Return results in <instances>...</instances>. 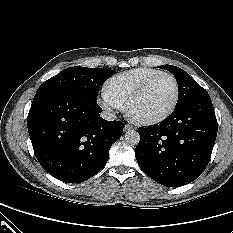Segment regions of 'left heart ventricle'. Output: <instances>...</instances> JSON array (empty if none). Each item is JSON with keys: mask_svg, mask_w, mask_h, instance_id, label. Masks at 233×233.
<instances>
[{"mask_svg": "<svg viewBox=\"0 0 233 233\" xmlns=\"http://www.w3.org/2000/svg\"><path fill=\"white\" fill-rule=\"evenodd\" d=\"M175 97L173 81L166 76L156 79L132 106L131 112L141 118H152L163 114Z\"/></svg>", "mask_w": 233, "mask_h": 233, "instance_id": "left-heart-ventricle-1", "label": "left heart ventricle"}]
</instances>
